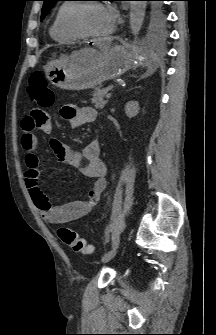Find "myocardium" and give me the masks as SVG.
I'll return each instance as SVG.
<instances>
[{"instance_id":"1","label":"myocardium","mask_w":216,"mask_h":335,"mask_svg":"<svg viewBox=\"0 0 216 335\" xmlns=\"http://www.w3.org/2000/svg\"><path fill=\"white\" fill-rule=\"evenodd\" d=\"M90 5H98L102 6L101 4H96L95 2H87L83 4H75L70 11V14L68 16V27L71 31L74 33L82 36V37H88V38H98L108 35L113 31V26L106 32L103 33H95L87 30L82 21V15L85 9Z\"/></svg>"}]
</instances>
